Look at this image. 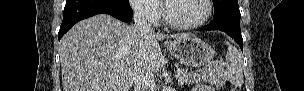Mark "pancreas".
I'll use <instances>...</instances> for the list:
<instances>
[{"mask_svg":"<svg viewBox=\"0 0 304 91\" xmlns=\"http://www.w3.org/2000/svg\"><path fill=\"white\" fill-rule=\"evenodd\" d=\"M176 74L184 77L183 83L209 82L211 84L222 85L224 83L223 69L217 65H210L204 70L188 71L186 68L176 67Z\"/></svg>","mask_w":304,"mask_h":91,"instance_id":"pancreas-1","label":"pancreas"}]
</instances>
